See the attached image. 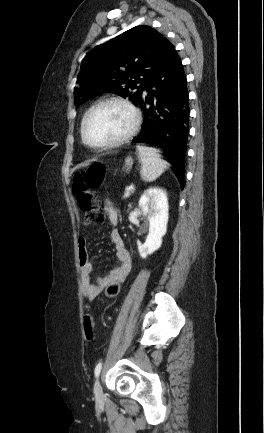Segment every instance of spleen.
<instances>
[{"label": "spleen", "instance_id": "spleen-1", "mask_svg": "<svg viewBox=\"0 0 264 433\" xmlns=\"http://www.w3.org/2000/svg\"><path fill=\"white\" fill-rule=\"evenodd\" d=\"M137 150L142 164L140 175L144 181L156 180L168 168V163L160 158L157 149L137 145Z\"/></svg>", "mask_w": 264, "mask_h": 433}]
</instances>
